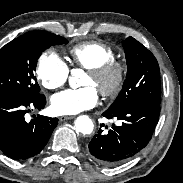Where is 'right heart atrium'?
<instances>
[{"instance_id": "right-heart-atrium-1", "label": "right heart atrium", "mask_w": 183, "mask_h": 183, "mask_svg": "<svg viewBox=\"0 0 183 183\" xmlns=\"http://www.w3.org/2000/svg\"><path fill=\"white\" fill-rule=\"evenodd\" d=\"M35 74L45 89L54 90L66 83L69 68L55 51L48 50L40 55Z\"/></svg>"}]
</instances>
